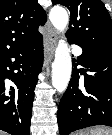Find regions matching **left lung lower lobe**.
<instances>
[{"label": "left lung lower lobe", "instance_id": "0a47b994", "mask_svg": "<svg viewBox=\"0 0 112 135\" xmlns=\"http://www.w3.org/2000/svg\"><path fill=\"white\" fill-rule=\"evenodd\" d=\"M82 50L59 104L60 135L94 125L112 127V53ZM79 74L84 75L83 80Z\"/></svg>", "mask_w": 112, "mask_h": 135}]
</instances>
